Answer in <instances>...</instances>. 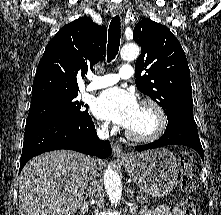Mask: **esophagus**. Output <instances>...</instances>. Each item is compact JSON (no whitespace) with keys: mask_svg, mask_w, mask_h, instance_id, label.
I'll use <instances>...</instances> for the list:
<instances>
[{"mask_svg":"<svg viewBox=\"0 0 221 215\" xmlns=\"http://www.w3.org/2000/svg\"><path fill=\"white\" fill-rule=\"evenodd\" d=\"M120 7L119 6H115L112 10V15H117L120 13ZM112 151H113V155L116 157H124L125 154L123 153L122 147L119 143H114L112 145Z\"/></svg>","mask_w":221,"mask_h":215,"instance_id":"1","label":"esophagus"}]
</instances>
